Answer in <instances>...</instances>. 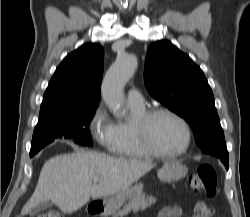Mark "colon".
<instances>
[{
	"mask_svg": "<svg viewBox=\"0 0 250 217\" xmlns=\"http://www.w3.org/2000/svg\"><path fill=\"white\" fill-rule=\"evenodd\" d=\"M190 187L197 193L205 194L207 196H214L217 190V178L214 168L210 165H201L194 173L189 177ZM195 212L200 217H207L212 213V209L209 208L204 202H198L195 205ZM37 217H63L57 211H50L41 214Z\"/></svg>",
	"mask_w": 250,
	"mask_h": 217,
	"instance_id": "colon-1",
	"label": "colon"
}]
</instances>
